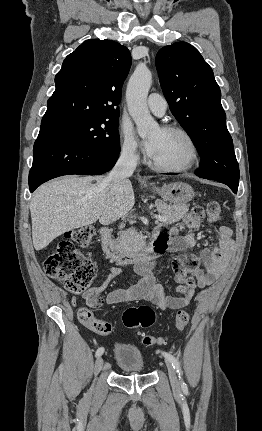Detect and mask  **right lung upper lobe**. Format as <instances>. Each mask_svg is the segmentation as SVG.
<instances>
[{
    "instance_id": "right-lung-upper-lobe-1",
    "label": "right lung upper lobe",
    "mask_w": 262,
    "mask_h": 431,
    "mask_svg": "<svg viewBox=\"0 0 262 431\" xmlns=\"http://www.w3.org/2000/svg\"><path fill=\"white\" fill-rule=\"evenodd\" d=\"M129 50L112 40L83 42L63 61L41 126L94 116H119Z\"/></svg>"
}]
</instances>
